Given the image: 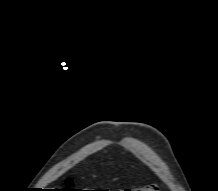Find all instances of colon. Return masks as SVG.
<instances>
[{"mask_svg":"<svg viewBox=\"0 0 218 191\" xmlns=\"http://www.w3.org/2000/svg\"><path fill=\"white\" fill-rule=\"evenodd\" d=\"M67 191H77V190L68 189ZM117 191H159V188L155 184H149L140 188L117 190Z\"/></svg>","mask_w":218,"mask_h":191,"instance_id":"colon-1","label":"colon"}]
</instances>
